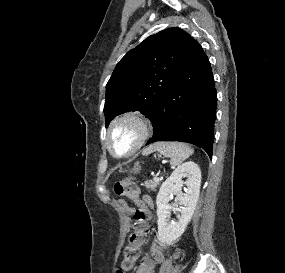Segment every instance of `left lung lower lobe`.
<instances>
[{
    "mask_svg": "<svg viewBox=\"0 0 285 273\" xmlns=\"http://www.w3.org/2000/svg\"><path fill=\"white\" fill-rule=\"evenodd\" d=\"M217 93L208 57L193 39L186 61L148 118L156 141H181L203 148L212 157Z\"/></svg>",
    "mask_w": 285,
    "mask_h": 273,
    "instance_id": "1",
    "label": "left lung lower lobe"
}]
</instances>
